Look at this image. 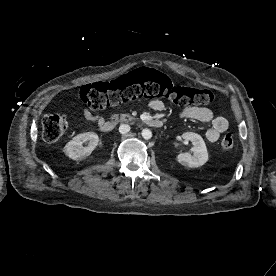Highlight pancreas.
<instances>
[{"label":"pancreas","instance_id":"1","mask_svg":"<svg viewBox=\"0 0 276 276\" xmlns=\"http://www.w3.org/2000/svg\"><path fill=\"white\" fill-rule=\"evenodd\" d=\"M111 119H113L115 123H118V122H128L133 120L134 118L129 114H121L120 117L118 114H115L111 117Z\"/></svg>","mask_w":276,"mask_h":276}]
</instances>
